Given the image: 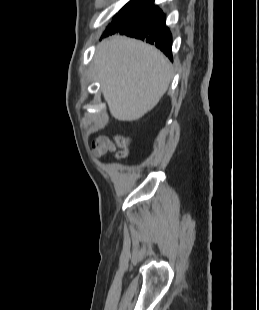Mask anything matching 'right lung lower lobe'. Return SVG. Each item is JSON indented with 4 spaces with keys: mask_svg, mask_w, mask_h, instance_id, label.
<instances>
[{
    "mask_svg": "<svg viewBox=\"0 0 259 310\" xmlns=\"http://www.w3.org/2000/svg\"><path fill=\"white\" fill-rule=\"evenodd\" d=\"M115 33L127 35L154 44L172 59V35L169 28L165 25V14L157 6H154L126 27L109 34Z\"/></svg>",
    "mask_w": 259,
    "mask_h": 310,
    "instance_id": "1",
    "label": "right lung lower lobe"
}]
</instances>
